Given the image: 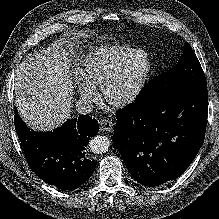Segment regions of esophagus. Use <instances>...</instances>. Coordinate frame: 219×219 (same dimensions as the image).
I'll return each instance as SVG.
<instances>
[{
	"instance_id": "34e87169",
	"label": "esophagus",
	"mask_w": 219,
	"mask_h": 219,
	"mask_svg": "<svg viewBox=\"0 0 219 219\" xmlns=\"http://www.w3.org/2000/svg\"><path fill=\"white\" fill-rule=\"evenodd\" d=\"M99 123H100V128L103 131H111L114 126L113 121L110 119H101Z\"/></svg>"
}]
</instances>
